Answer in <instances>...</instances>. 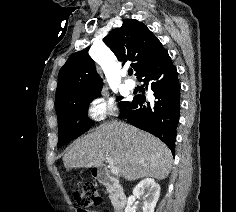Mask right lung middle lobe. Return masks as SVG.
Returning <instances> with one entry per match:
<instances>
[{
  "label": "right lung middle lobe",
  "instance_id": "1",
  "mask_svg": "<svg viewBox=\"0 0 236 212\" xmlns=\"http://www.w3.org/2000/svg\"><path fill=\"white\" fill-rule=\"evenodd\" d=\"M99 93L76 99L65 108L57 111L59 138L58 148L85 133L94 122L89 120L87 110L90 102L98 97ZM120 100L121 97H118ZM129 102H120V109Z\"/></svg>",
  "mask_w": 236,
  "mask_h": 212
}]
</instances>
